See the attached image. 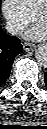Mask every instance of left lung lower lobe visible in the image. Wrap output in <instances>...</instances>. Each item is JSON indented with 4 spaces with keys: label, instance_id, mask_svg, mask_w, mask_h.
I'll return each mask as SVG.
<instances>
[{
    "label": "left lung lower lobe",
    "instance_id": "1",
    "mask_svg": "<svg viewBox=\"0 0 47 129\" xmlns=\"http://www.w3.org/2000/svg\"><path fill=\"white\" fill-rule=\"evenodd\" d=\"M45 82H46V85H47V72L45 73Z\"/></svg>",
    "mask_w": 47,
    "mask_h": 129
}]
</instances>
